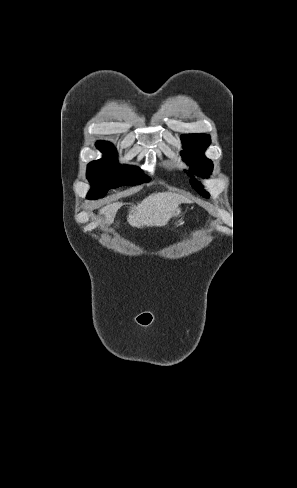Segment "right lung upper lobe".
I'll return each mask as SVG.
<instances>
[{"mask_svg": "<svg viewBox=\"0 0 297 488\" xmlns=\"http://www.w3.org/2000/svg\"><path fill=\"white\" fill-rule=\"evenodd\" d=\"M103 143H109V142L100 141V142H98V143H97V147H98V148H99L101 151L103 150V146H102V144H103ZM110 144H111V143H110Z\"/></svg>", "mask_w": 297, "mask_h": 488, "instance_id": "cb5924a9", "label": "right lung upper lobe"}]
</instances>
